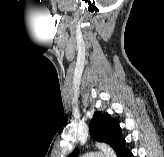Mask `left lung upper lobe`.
I'll return each instance as SVG.
<instances>
[{"label":"left lung upper lobe","instance_id":"1","mask_svg":"<svg viewBox=\"0 0 164 157\" xmlns=\"http://www.w3.org/2000/svg\"><path fill=\"white\" fill-rule=\"evenodd\" d=\"M89 131L94 140L106 142L113 148L123 140L118 121L108 113L96 112L90 122ZM78 154L79 149H75L67 157H78Z\"/></svg>","mask_w":164,"mask_h":157}]
</instances>
